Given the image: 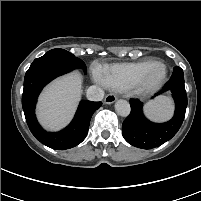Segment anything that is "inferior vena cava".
<instances>
[{
  "mask_svg": "<svg viewBox=\"0 0 201 201\" xmlns=\"http://www.w3.org/2000/svg\"><path fill=\"white\" fill-rule=\"evenodd\" d=\"M86 97L90 101H102L104 97V91L102 88L93 85L87 89Z\"/></svg>",
  "mask_w": 201,
  "mask_h": 201,
  "instance_id": "602c4592",
  "label": "inferior vena cava"
}]
</instances>
